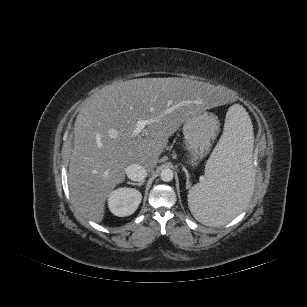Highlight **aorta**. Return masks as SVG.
<instances>
[{
    "label": "aorta",
    "instance_id": "1",
    "mask_svg": "<svg viewBox=\"0 0 307 307\" xmlns=\"http://www.w3.org/2000/svg\"><path fill=\"white\" fill-rule=\"evenodd\" d=\"M173 176H174L173 171L169 168L163 169L160 173V178L164 182L172 181Z\"/></svg>",
    "mask_w": 307,
    "mask_h": 307
}]
</instances>
